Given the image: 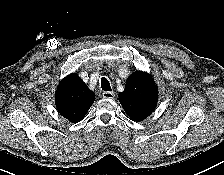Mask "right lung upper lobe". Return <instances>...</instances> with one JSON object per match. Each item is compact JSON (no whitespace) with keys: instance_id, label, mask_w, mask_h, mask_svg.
I'll use <instances>...</instances> for the list:
<instances>
[{"instance_id":"right-lung-upper-lobe-1","label":"right lung upper lobe","mask_w":224,"mask_h":175,"mask_svg":"<svg viewBox=\"0 0 224 175\" xmlns=\"http://www.w3.org/2000/svg\"><path fill=\"white\" fill-rule=\"evenodd\" d=\"M95 100V94L77 74L64 78L56 91L55 102L58 112L72 123L80 122Z\"/></svg>"}]
</instances>
